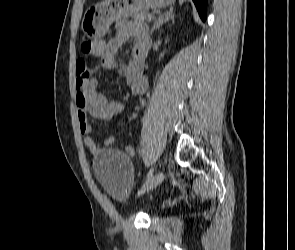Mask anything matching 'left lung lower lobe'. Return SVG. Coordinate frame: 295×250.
<instances>
[{
    "label": "left lung lower lobe",
    "mask_w": 295,
    "mask_h": 250,
    "mask_svg": "<svg viewBox=\"0 0 295 250\" xmlns=\"http://www.w3.org/2000/svg\"><path fill=\"white\" fill-rule=\"evenodd\" d=\"M193 2L195 3L196 5V8L199 12V15L201 17V19L203 21L206 20V5H207V0H193Z\"/></svg>",
    "instance_id": "obj_1"
}]
</instances>
